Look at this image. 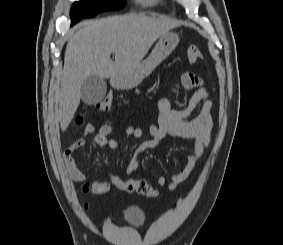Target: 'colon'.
Instances as JSON below:
<instances>
[{"mask_svg": "<svg viewBox=\"0 0 283 245\" xmlns=\"http://www.w3.org/2000/svg\"><path fill=\"white\" fill-rule=\"evenodd\" d=\"M187 60L190 64L197 62L202 59V53L196 46H191L187 50ZM113 102V96L111 94L107 95L102 101L97 103L96 107L102 112H107L111 109ZM82 118H77V123H81ZM84 191L88 190V186L84 185ZM124 190L130 193H137L143 196L155 198L158 196L157 191L142 179H128L124 183Z\"/></svg>", "mask_w": 283, "mask_h": 245, "instance_id": "1", "label": "colon"}]
</instances>
